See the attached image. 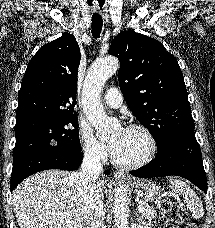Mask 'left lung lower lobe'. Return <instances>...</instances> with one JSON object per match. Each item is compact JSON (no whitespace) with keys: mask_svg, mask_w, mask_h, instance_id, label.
<instances>
[{"mask_svg":"<svg viewBox=\"0 0 215 228\" xmlns=\"http://www.w3.org/2000/svg\"><path fill=\"white\" fill-rule=\"evenodd\" d=\"M130 174L141 178L177 175L188 179L205 193L207 192L206 174L194 131L169 139L158 148L154 161L130 171Z\"/></svg>","mask_w":215,"mask_h":228,"instance_id":"0a47b994","label":"left lung lower lobe"}]
</instances>
